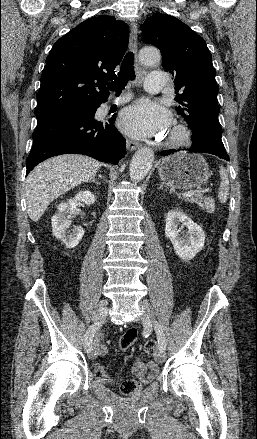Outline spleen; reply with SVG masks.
<instances>
[{"mask_svg": "<svg viewBox=\"0 0 257 439\" xmlns=\"http://www.w3.org/2000/svg\"><path fill=\"white\" fill-rule=\"evenodd\" d=\"M220 186L218 189V199L221 203H226L228 200V196H229V178H228V173L227 170L223 167L220 166Z\"/></svg>", "mask_w": 257, "mask_h": 439, "instance_id": "spleen-1", "label": "spleen"}]
</instances>
